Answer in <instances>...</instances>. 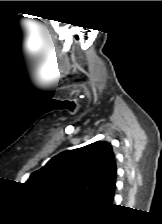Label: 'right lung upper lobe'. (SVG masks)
<instances>
[{
    "label": "right lung upper lobe",
    "instance_id": "obj_1",
    "mask_svg": "<svg viewBox=\"0 0 162 224\" xmlns=\"http://www.w3.org/2000/svg\"><path fill=\"white\" fill-rule=\"evenodd\" d=\"M116 175L111 145L95 142L56 155L26 183L39 190L79 196L95 205L113 200Z\"/></svg>",
    "mask_w": 162,
    "mask_h": 224
}]
</instances>
